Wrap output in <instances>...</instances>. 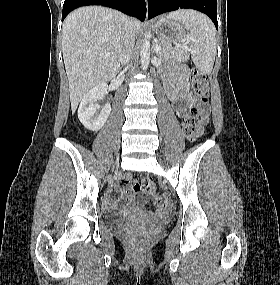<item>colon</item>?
Here are the masks:
<instances>
[{"instance_id":"colon-1","label":"colon","mask_w":280,"mask_h":285,"mask_svg":"<svg viewBox=\"0 0 280 285\" xmlns=\"http://www.w3.org/2000/svg\"><path fill=\"white\" fill-rule=\"evenodd\" d=\"M192 84L194 91V100L191 107L184 112L182 117L183 131L188 139L196 140L204 130V121L200 116V107L203 106L209 98V78L202 71L194 70L192 73ZM122 182L132 187L135 191H141L152 196V203L156 207L165 206L168 203L167 194L156 193L154 182L149 178H143L140 182L129 174L122 176Z\"/></svg>"}]
</instances>
